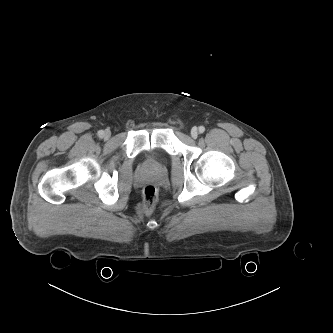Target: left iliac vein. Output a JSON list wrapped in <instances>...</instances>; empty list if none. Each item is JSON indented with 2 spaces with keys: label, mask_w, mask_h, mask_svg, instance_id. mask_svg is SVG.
Here are the masks:
<instances>
[{
  "label": "left iliac vein",
  "mask_w": 333,
  "mask_h": 333,
  "mask_svg": "<svg viewBox=\"0 0 333 333\" xmlns=\"http://www.w3.org/2000/svg\"><path fill=\"white\" fill-rule=\"evenodd\" d=\"M191 136L196 139L198 137V129L197 128H193L191 130Z\"/></svg>",
  "instance_id": "obj_1"
}]
</instances>
